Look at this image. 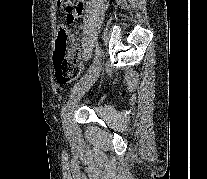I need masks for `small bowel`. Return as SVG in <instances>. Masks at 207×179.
<instances>
[{
	"instance_id": "small-bowel-1",
	"label": "small bowel",
	"mask_w": 207,
	"mask_h": 179,
	"mask_svg": "<svg viewBox=\"0 0 207 179\" xmlns=\"http://www.w3.org/2000/svg\"><path fill=\"white\" fill-rule=\"evenodd\" d=\"M83 9H84V5H83V3L79 2V3L75 6V10H74V12H73V14H72V17H71V19H70L71 22H73L74 19H77V18H79V17L82 15V13H83ZM71 46H72V49H73V50H76V49L78 48V45H77L75 39L72 40V44H71Z\"/></svg>"
}]
</instances>
